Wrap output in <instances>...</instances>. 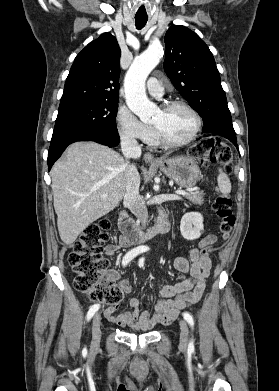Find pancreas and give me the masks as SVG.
Wrapping results in <instances>:
<instances>
[{
	"mask_svg": "<svg viewBox=\"0 0 279 391\" xmlns=\"http://www.w3.org/2000/svg\"><path fill=\"white\" fill-rule=\"evenodd\" d=\"M186 198L194 205L201 206L204 203V196L202 193L192 192L186 195Z\"/></svg>",
	"mask_w": 279,
	"mask_h": 391,
	"instance_id": "obj_1",
	"label": "pancreas"
}]
</instances>
